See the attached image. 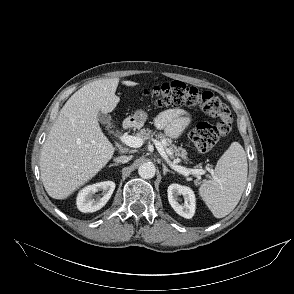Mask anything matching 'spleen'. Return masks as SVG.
I'll list each match as a JSON object with an SVG mask.
<instances>
[{
    "label": "spleen",
    "instance_id": "3e777b00",
    "mask_svg": "<svg viewBox=\"0 0 294 294\" xmlns=\"http://www.w3.org/2000/svg\"><path fill=\"white\" fill-rule=\"evenodd\" d=\"M247 157L243 147L233 142L218 160L211 180L199 193L216 218H223L237 206L246 186Z\"/></svg>",
    "mask_w": 294,
    "mask_h": 294
}]
</instances>
